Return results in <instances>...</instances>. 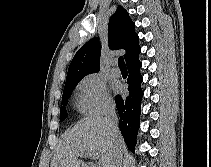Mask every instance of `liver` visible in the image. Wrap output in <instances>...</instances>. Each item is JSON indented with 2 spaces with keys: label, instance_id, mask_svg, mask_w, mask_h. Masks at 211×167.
<instances>
[{
  "label": "liver",
  "instance_id": "6515ba94",
  "mask_svg": "<svg viewBox=\"0 0 211 167\" xmlns=\"http://www.w3.org/2000/svg\"><path fill=\"white\" fill-rule=\"evenodd\" d=\"M125 149L118 131L113 135L103 117H90L65 132L59 141L51 167H88L78 158L91 152L99 154V167H111L117 150Z\"/></svg>",
  "mask_w": 211,
  "mask_h": 167
}]
</instances>
